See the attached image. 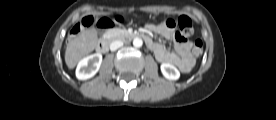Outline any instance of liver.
Wrapping results in <instances>:
<instances>
[{
  "label": "liver",
  "mask_w": 276,
  "mask_h": 120,
  "mask_svg": "<svg viewBox=\"0 0 276 120\" xmlns=\"http://www.w3.org/2000/svg\"><path fill=\"white\" fill-rule=\"evenodd\" d=\"M96 44L97 33L93 28L83 30L70 40L65 52V62L68 68L73 69L83 57L94 50Z\"/></svg>",
  "instance_id": "liver-1"
}]
</instances>
